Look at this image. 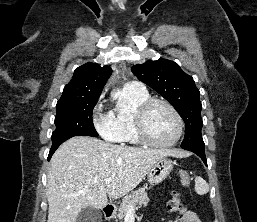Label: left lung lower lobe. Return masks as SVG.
<instances>
[{
    "instance_id": "left-lung-lower-lobe-1",
    "label": "left lung lower lobe",
    "mask_w": 257,
    "mask_h": 222,
    "mask_svg": "<svg viewBox=\"0 0 257 222\" xmlns=\"http://www.w3.org/2000/svg\"><path fill=\"white\" fill-rule=\"evenodd\" d=\"M183 149L197 154L203 160V162L207 165V160H206L204 149H200V148H183Z\"/></svg>"
}]
</instances>
